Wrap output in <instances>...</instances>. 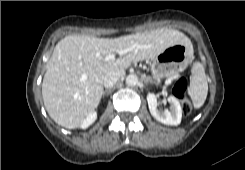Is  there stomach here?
I'll return each mask as SVG.
<instances>
[{
    "label": "stomach",
    "instance_id": "1",
    "mask_svg": "<svg viewBox=\"0 0 245 170\" xmlns=\"http://www.w3.org/2000/svg\"><path fill=\"white\" fill-rule=\"evenodd\" d=\"M192 59L193 53L186 45L177 44L165 49L150 59L153 82L160 84L164 79L179 74Z\"/></svg>",
    "mask_w": 245,
    "mask_h": 170
}]
</instances>
